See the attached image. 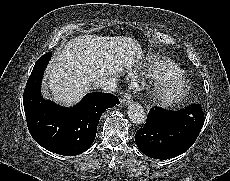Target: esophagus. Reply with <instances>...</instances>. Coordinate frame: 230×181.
Listing matches in <instances>:
<instances>
[{
  "instance_id": "34e87169",
  "label": "esophagus",
  "mask_w": 230,
  "mask_h": 181,
  "mask_svg": "<svg viewBox=\"0 0 230 181\" xmlns=\"http://www.w3.org/2000/svg\"><path fill=\"white\" fill-rule=\"evenodd\" d=\"M120 102L124 105V106H127L129 105L131 102H132V96L130 93H125L121 99H120Z\"/></svg>"
}]
</instances>
